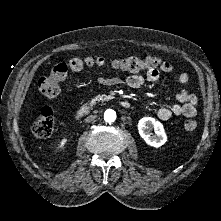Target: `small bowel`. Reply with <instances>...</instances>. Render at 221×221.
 <instances>
[{"mask_svg":"<svg viewBox=\"0 0 221 221\" xmlns=\"http://www.w3.org/2000/svg\"><path fill=\"white\" fill-rule=\"evenodd\" d=\"M175 70V66L168 62L164 61L161 69L159 70H148L143 75L133 73L131 75L126 76L125 78L120 77H100L96 81L100 84L107 86H118L125 85L130 88H139L145 82H154L157 81L160 72H173ZM189 76L186 73H180L178 75V82L182 85L177 94V103H172L168 106L160 107L156 116L160 120H168L171 117L184 116L187 118H194L197 115V97L188 91V89L184 86L188 83Z\"/></svg>","mask_w":221,"mask_h":221,"instance_id":"c3829d8e","label":"small bowel"}]
</instances>
